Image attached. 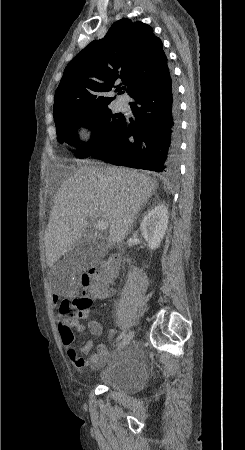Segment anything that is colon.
Masks as SVG:
<instances>
[{
    "instance_id": "obj_1",
    "label": "colon",
    "mask_w": 245,
    "mask_h": 450,
    "mask_svg": "<svg viewBox=\"0 0 245 450\" xmlns=\"http://www.w3.org/2000/svg\"><path fill=\"white\" fill-rule=\"evenodd\" d=\"M120 260L116 255H112L108 260H101L93 266L84 270L79 278L80 288L84 294L78 302V307L86 309L90 307L87 294L95 287L105 288L117 277ZM73 301L63 299L59 307V330L65 342H70L74 338L73 328L77 324L78 313L75 310ZM81 364V363H80Z\"/></svg>"
}]
</instances>
